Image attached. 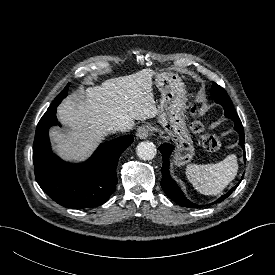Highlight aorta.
<instances>
[{
	"instance_id": "aorta-1",
	"label": "aorta",
	"mask_w": 275,
	"mask_h": 275,
	"mask_svg": "<svg viewBox=\"0 0 275 275\" xmlns=\"http://www.w3.org/2000/svg\"><path fill=\"white\" fill-rule=\"evenodd\" d=\"M137 155L142 160H151L156 155V146L149 141H143L137 145Z\"/></svg>"
}]
</instances>
